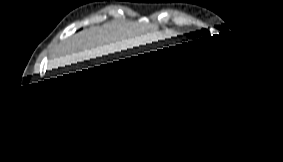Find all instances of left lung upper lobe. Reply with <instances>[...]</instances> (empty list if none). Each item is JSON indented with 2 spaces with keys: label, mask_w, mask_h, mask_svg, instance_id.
Listing matches in <instances>:
<instances>
[{
  "label": "left lung upper lobe",
  "mask_w": 283,
  "mask_h": 162,
  "mask_svg": "<svg viewBox=\"0 0 283 162\" xmlns=\"http://www.w3.org/2000/svg\"><path fill=\"white\" fill-rule=\"evenodd\" d=\"M201 31H202L204 36H206V37L211 36L210 33L206 29H202ZM237 65H239V64H237Z\"/></svg>",
  "instance_id": "obj_1"
}]
</instances>
